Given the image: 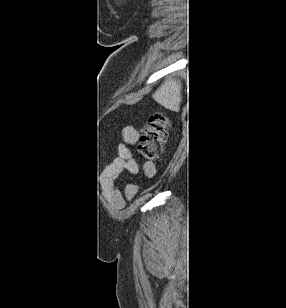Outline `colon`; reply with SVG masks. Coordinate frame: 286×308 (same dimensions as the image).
I'll use <instances>...</instances> for the list:
<instances>
[{
    "instance_id": "colon-1",
    "label": "colon",
    "mask_w": 286,
    "mask_h": 308,
    "mask_svg": "<svg viewBox=\"0 0 286 308\" xmlns=\"http://www.w3.org/2000/svg\"><path fill=\"white\" fill-rule=\"evenodd\" d=\"M169 135V120L162 112H155L139 138L138 151L146 159H154L160 153Z\"/></svg>"
}]
</instances>
